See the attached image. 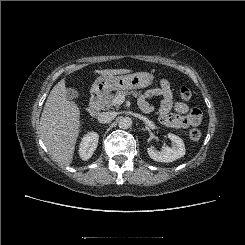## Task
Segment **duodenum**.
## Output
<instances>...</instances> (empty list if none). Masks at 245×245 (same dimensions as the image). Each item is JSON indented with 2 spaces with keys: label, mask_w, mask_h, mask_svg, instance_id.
<instances>
[{
  "label": "duodenum",
  "mask_w": 245,
  "mask_h": 245,
  "mask_svg": "<svg viewBox=\"0 0 245 245\" xmlns=\"http://www.w3.org/2000/svg\"><path fill=\"white\" fill-rule=\"evenodd\" d=\"M101 94L98 91H93L90 96L89 105L86 108V113L89 116L95 117L100 111Z\"/></svg>",
  "instance_id": "1"
}]
</instances>
